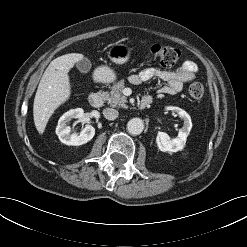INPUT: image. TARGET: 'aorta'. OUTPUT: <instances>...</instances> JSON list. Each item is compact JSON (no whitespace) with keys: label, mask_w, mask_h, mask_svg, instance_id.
<instances>
[{"label":"aorta","mask_w":247,"mask_h":247,"mask_svg":"<svg viewBox=\"0 0 247 247\" xmlns=\"http://www.w3.org/2000/svg\"><path fill=\"white\" fill-rule=\"evenodd\" d=\"M144 129V122L140 118H132L127 123V130L131 135H139Z\"/></svg>","instance_id":"1"}]
</instances>
